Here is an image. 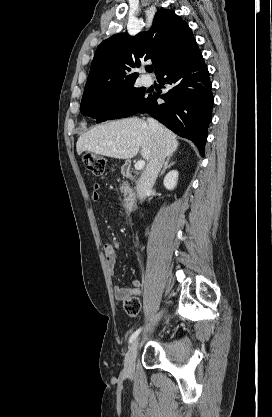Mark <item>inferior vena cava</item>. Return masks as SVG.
<instances>
[{
	"label": "inferior vena cava",
	"instance_id": "1",
	"mask_svg": "<svg viewBox=\"0 0 272 417\" xmlns=\"http://www.w3.org/2000/svg\"><path fill=\"white\" fill-rule=\"evenodd\" d=\"M147 121L152 132L153 148L150 160L137 184V195L141 201L152 189L165 160L162 126L152 118H148Z\"/></svg>",
	"mask_w": 272,
	"mask_h": 417
}]
</instances>
